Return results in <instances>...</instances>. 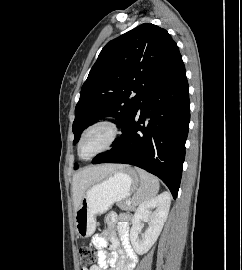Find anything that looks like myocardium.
<instances>
[{"label":"myocardium","mask_w":242,"mask_h":270,"mask_svg":"<svg viewBox=\"0 0 242 270\" xmlns=\"http://www.w3.org/2000/svg\"><path fill=\"white\" fill-rule=\"evenodd\" d=\"M97 127H106V128H108V130L110 132L109 139H108L107 143L105 144V146L102 149H100L98 152H96L92 156H90L88 158H84L80 154L81 143H82L85 135L90 130H92L94 128H97ZM120 134H121V128H120L119 123L115 119L109 118V117L100 118V119L94 121L93 123H91L90 125H88L82 131V133L80 135V138L78 140V143H77V154L83 160H91V159L95 158L96 156L110 150L112 148V146L117 142L118 138L120 137Z\"/></svg>","instance_id":"1"}]
</instances>
